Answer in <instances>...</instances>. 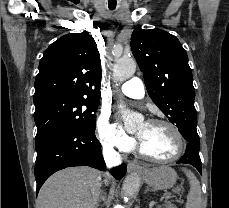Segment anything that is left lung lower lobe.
Returning a JSON list of instances; mask_svg holds the SVG:
<instances>
[{"label": "left lung lower lobe", "mask_w": 229, "mask_h": 208, "mask_svg": "<svg viewBox=\"0 0 229 208\" xmlns=\"http://www.w3.org/2000/svg\"><path fill=\"white\" fill-rule=\"evenodd\" d=\"M181 134L188 144L184 155L177 161V163L190 164L202 174V166L199 156V136L196 129H191Z\"/></svg>", "instance_id": "1"}]
</instances>
